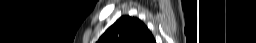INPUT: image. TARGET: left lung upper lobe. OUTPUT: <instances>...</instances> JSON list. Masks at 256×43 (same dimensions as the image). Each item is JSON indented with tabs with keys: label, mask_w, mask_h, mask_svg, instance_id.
<instances>
[{
	"label": "left lung upper lobe",
	"mask_w": 256,
	"mask_h": 43,
	"mask_svg": "<svg viewBox=\"0 0 256 43\" xmlns=\"http://www.w3.org/2000/svg\"><path fill=\"white\" fill-rule=\"evenodd\" d=\"M97 43H156L145 24L135 17L122 16Z\"/></svg>",
	"instance_id": "1"
}]
</instances>
